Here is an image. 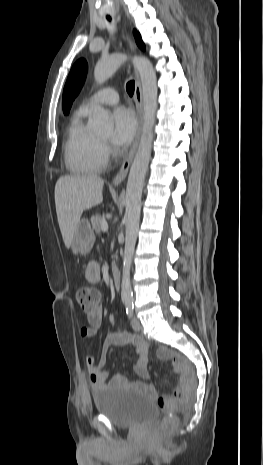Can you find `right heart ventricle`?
Returning a JSON list of instances; mask_svg holds the SVG:
<instances>
[{
  "label": "right heart ventricle",
  "instance_id": "e07e8e85",
  "mask_svg": "<svg viewBox=\"0 0 263 465\" xmlns=\"http://www.w3.org/2000/svg\"><path fill=\"white\" fill-rule=\"evenodd\" d=\"M87 114L78 110L73 115L64 142L65 164L74 174H95L106 166L100 140L89 133L85 126Z\"/></svg>",
  "mask_w": 263,
  "mask_h": 465
}]
</instances>
